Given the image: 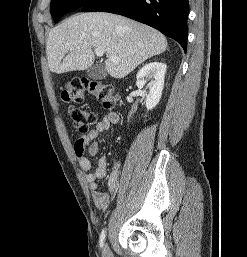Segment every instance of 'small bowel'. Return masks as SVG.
Returning <instances> with one entry per match:
<instances>
[{
  "mask_svg": "<svg viewBox=\"0 0 247 257\" xmlns=\"http://www.w3.org/2000/svg\"><path fill=\"white\" fill-rule=\"evenodd\" d=\"M119 116L117 113H108L101 121L97 123L94 129L88 131L74 143V151L77 157V161L80 167L86 172V180L91 190L93 201L97 208L105 209L110 202V195L101 190L99 180L103 179L107 175V159L105 156L98 158V166L96 169H92L91 162L87 156H96L100 145L95 139L99 134L110 129L111 126L118 124ZM120 162L114 161L113 169L108 178L107 186L110 192H114L118 185L120 177Z\"/></svg>",
  "mask_w": 247,
  "mask_h": 257,
  "instance_id": "small-bowel-1",
  "label": "small bowel"
}]
</instances>
